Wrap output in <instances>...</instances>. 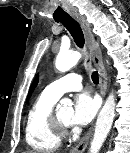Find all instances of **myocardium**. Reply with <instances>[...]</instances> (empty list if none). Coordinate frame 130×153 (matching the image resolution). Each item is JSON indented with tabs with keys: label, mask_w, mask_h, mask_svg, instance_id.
Here are the masks:
<instances>
[{
	"label": "myocardium",
	"mask_w": 130,
	"mask_h": 153,
	"mask_svg": "<svg viewBox=\"0 0 130 153\" xmlns=\"http://www.w3.org/2000/svg\"><path fill=\"white\" fill-rule=\"evenodd\" d=\"M50 121H51V125L53 126V128L60 135H63L67 132V130L69 128V124H66V123L62 122L60 120V118L58 117V115L54 111H52V113H51Z\"/></svg>",
	"instance_id": "myocardium-1"
}]
</instances>
